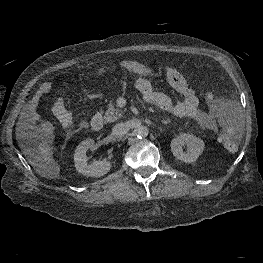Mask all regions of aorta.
<instances>
[{
    "label": "aorta",
    "instance_id": "obj_1",
    "mask_svg": "<svg viewBox=\"0 0 263 263\" xmlns=\"http://www.w3.org/2000/svg\"><path fill=\"white\" fill-rule=\"evenodd\" d=\"M134 134L138 137V138H144L147 137L149 134V130L146 126L143 125H138L135 129H134Z\"/></svg>",
    "mask_w": 263,
    "mask_h": 263
}]
</instances>
